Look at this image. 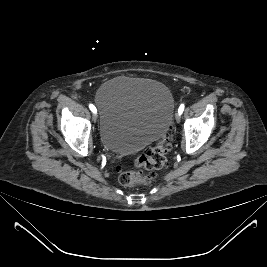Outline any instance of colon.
<instances>
[{"label":"colon","instance_id":"1","mask_svg":"<svg viewBox=\"0 0 267 267\" xmlns=\"http://www.w3.org/2000/svg\"><path fill=\"white\" fill-rule=\"evenodd\" d=\"M170 150L171 141L169 137L165 135L155 145L146 147L142 153L137 156L134 165L137 168H144L149 171L161 169L167 165V157ZM151 180V175L143 174L137 170L124 171L119 176V181L124 186L148 184Z\"/></svg>","mask_w":267,"mask_h":267}]
</instances>
